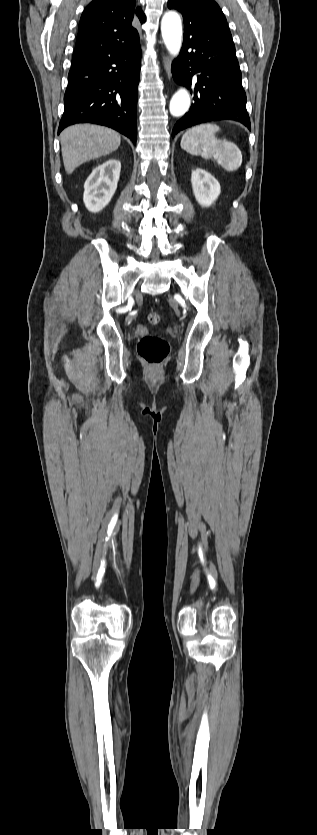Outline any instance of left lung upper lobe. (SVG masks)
<instances>
[{
    "instance_id": "5c2ea615",
    "label": "left lung upper lobe",
    "mask_w": 317,
    "mask_h": 835,
    "mask_svg": "<svg viewBox=\"0 0 317 835\" xmlns=\"http://www.w3.org/2000/svg\"><path fill=\"white\" fill-rule=\"evenodd\" d=\"M168 7L182 13L185 31L197 25H212L230 32L222 10L213 0H169Z\"/></svg>"
}]
</instances>
